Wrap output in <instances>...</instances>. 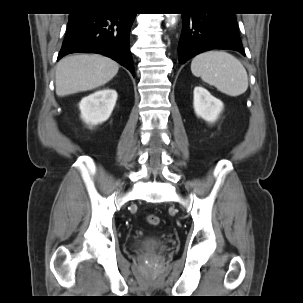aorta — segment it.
Segmentation results:
<instances>
[{"instance_id":"aorta-1","label":"aorta","mask_w":303,"mask_h":303,"mask_svg":"<svg viewBox=\"0 0 303 303\" xmlns=\"http://www.w3.org/2000/svg\"><path fill=\"white\" fill-rule=\"evenodd\" d=\"M178 21V14H166V23L169 27H174Z\"/></svg>"}]
</instances>
